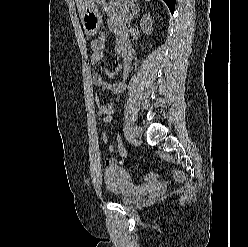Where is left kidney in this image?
<instances>
[{"mask_svg": "<svg viewBox=\"0 0 248 247\" xmlns=\"http://www.w3.org/2000/svg\"><path fill=\"white\" fill-rule=\"evenodd\" d=\"M153 21L151 20V17L149 14H146L143 16L140 22V26L143 32L146 34H151Z\"/></svg>", "mask_w": 248, "mask_h": 247, "instance_id": "obj_1", "label": "left kidney"}]
</instances>
